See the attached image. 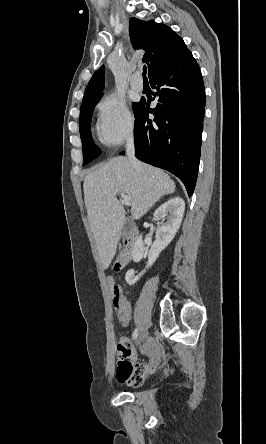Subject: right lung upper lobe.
Instances as JSON below:
<instances>
[{
  "label": "right lung upper lobe",
  "mask_w": 266,
  "mask_h": 444,
  "mask_svg": "<svg viewBox=\"0 0 266 444\" xmlns=\"http://www.w3.org/2000/svg\"><path fill=\"white\" fill-rule=\"evenodd\" d=\"M129 35L136 49L145 51L143 62L148 65V77L185 63L193 56L183 39L170 27L155 22L131 18ZM105 67L102 65L92 76L86 87L83 101L87 102L101 96L104 88Z\"/></svg>",
  "instance_id": "obj_1"
}]
</instances>
